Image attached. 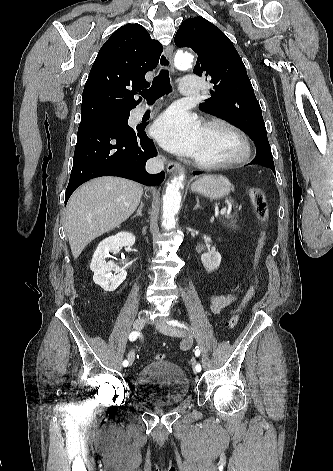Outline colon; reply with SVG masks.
<instances>
[{"label": "colon", "instance_id": "1", "mask_svg": "<svg viewBox=\"0 0 333 471\" xmlns=\"http://www.w3.org/2000/svg\"><path fill=\"white\" fill-rule=\"evenodd\" d=\"M249 197H250V201L254 208L257 219L263 226H266L269 221V207H268V203H267L264 192L262 191V189L258 187H251L249 189ZM265 241H266V233L265 231H262L259 237L255 254H254V268L258 266L261 253L265 245ZM254 291H255V286L252 283L248 287L246 294L243 297L238 310H241L248 303V301L254 295ZM238 321H239V315L235 314L226 322V326L231 329L235 328L238 324ZM155 359L157 361H162L165 359V355L158 353L155 355Z\"/></svg>", "mask_w": 333, "mask_h": 471}]
</instances>
